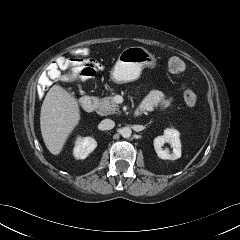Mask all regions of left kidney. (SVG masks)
<instances>
[{
	"label": "left kidney",
	"instance_id": "1",
	"mask_svg": "<svg viewBox=\"0 0 240 240\" xmlns=\"http://www.w3.org/2000/svg\"><path fill=\"white\" fill-rule=\"evenodd\" d=\"M165 143H169L173 148L172 153L168 148L163 149ZM154 148L159 158L176 160L181 157V142L179 132L176 129L167 128L164 130V135L157 136L154 139Z\"/></svg>",
	"mask_w": 240,
	"mask_h": 240
}]
</instances>
